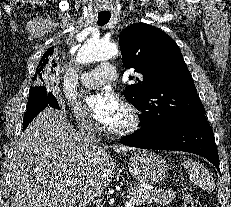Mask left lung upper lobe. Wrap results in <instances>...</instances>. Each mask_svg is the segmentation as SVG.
I'll return each instance as SVG.
<instances>
[{"mask_svg":"<svg viewBox=\"0 0 231 207\" xmlns=\"http://www.w3.org/2000/svg\"><path fill=\"white\" fill-rule=\"evenodd\" d=\"M119 43L124 67L134 68L140 76L124 91L125 98L142 111L139 131L159 134L183 119L205 114L172 38L154 26L136 23L121 32Z\"/></svg>","mask_w":231,"mask_h":207,"instance_id":"1","label":"left lung upper lobe"}]
</instances>
